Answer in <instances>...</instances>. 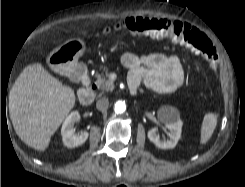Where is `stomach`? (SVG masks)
<instances>
[{
	"label": "stomach",
	"instance_id": "1",
	"mask_svg": "<svg viewBox=\"0 0 245 187\" xmlns=\"http://www.w3.org/2000/svg\"><path fill=\"white\" fill-rule=\"evenodd\" d=\"M85 49V43L82 40L70 39L49 54L47 64L54 72L66 74L77 65Z\"/></svg>",
	"mask_w": 245,
	"mask_h": 187
}]
</instances>
